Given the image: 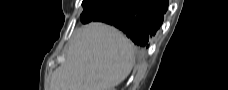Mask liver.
I'll return each instance as SVG.
<instances>
[{"label": "liver", "instance_id": "obj_1", "mask_svg": "<svg viewBox=\"0 0 228 90\" xmlns=\"http://www.w3.org/2000/svg\"><path fill=\"white\" fill-rule=\"evenodd\" d=\"M133 67V46L118 30L90 23L76 31L50 90H111Z\"/></svg>", "mask_w": 228, "mask_h": 90}]
</instances>
